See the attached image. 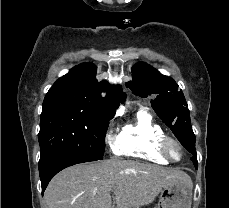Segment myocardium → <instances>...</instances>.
Wrapping results in <instances>:
<instances>
[{
    "mask_svg": "<svg viewBox=\"0 0 229 208\" xmlns=\"http://www.w3.org/2000/svg\"><path fill=\"white\" fill-rule=\"evenodd\" d=\"M160 147L158 149L159 153H164V158H169L173 162L181 161L185 154V147L183 143L174 136H166L163 140V143L160 144ZM175 147H177L180 151L179 157L175 155Z\"/></svg>",
    "mask_w": 229,
    "mask_h": 208,
    "instance_id": "1",
    "label": "myocardium"
}]
</instances>
